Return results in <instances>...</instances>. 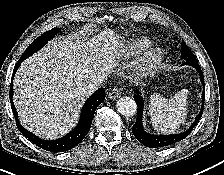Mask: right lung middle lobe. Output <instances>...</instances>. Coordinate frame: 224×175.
Here are the masks:
<instances>
[{"mask_svg":"<svg viewBox=\"0 0 224 175\" xmlns=\"http://www.w3.org/2000/svg\"><path fill=\"white\" fill-rule=\"evenodd\" d=\"M61 30L60 28H53L38 37L23 53L21 58L25 57L28 58L30 55H32L34 52L40 50L49 40H51L57 33H59Z\"/></svg>","mask_w":224,"mask_h":175,"instance_id":"dd1d6c3e","label":"right lung middle lobe"}]
</instances>
